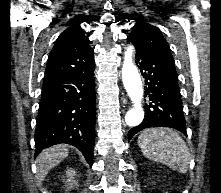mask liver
I'll return each mask as SVG.
<instances>
[{
    "mask_svg": "<svg viewBox=\"0 0 221 193\" xmlns=\"http://www.w3.org/2000/svg\"><path fill=\"white\" fill-rule=\"evenodd\" d=\"M67 156L68 149L65 144H58L42 150L36 159L38 181H43L48 172Z\"/></svg>",
    "mask_w": 221,
    "mask_h": 193,
    "instance_id": "6515ba94",
    "label": "liver"
}]
</instances>
